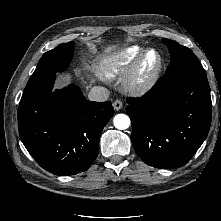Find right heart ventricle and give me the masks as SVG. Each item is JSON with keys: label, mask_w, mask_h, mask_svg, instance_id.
I'll use <instances>...</instances> for the list:
<instances>
[{"label": "right heart ventricle", "mask_w": 221, "mask_h": 221, "mask_svg": "<svg viewBox=\"0 0 221 221\" xmlns=\"http://www.w3.org/2000/svg\"><path fill=\"white\" fill-rule=\"evenodd\" d=\"M140 52V46H131L103 58L98 67L99 75L106 80H113L123 75L131 67Z\"/></svg>", "instance_id": "obj_1"}]
</instances>
